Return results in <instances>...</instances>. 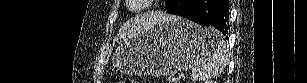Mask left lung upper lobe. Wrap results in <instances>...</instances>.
I'll list each match as a JSON object with an SVG mask.
<instances>
[{
	"label": "left lung upper lobe",
	"instance_id": "5c2ea615",
	"mask_svg": "<svg viewBox=\"0 0 307 83\" xmlns=\"http://www.w3.org/2000/svg\"><path fill=\"white\" fill-rule=\"evenodd\" d=\"M172 2H173V0H165V4H166L167 9L171 6Z\"/></svg>",
	"mask_w": 307,
	"mask_h": 83
}]
</instances>
